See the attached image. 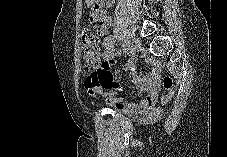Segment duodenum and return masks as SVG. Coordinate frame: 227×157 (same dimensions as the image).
<instances>
[{"mask_svg":"<svg viewBox=\"0 0 227 157\" xmlns=\"http://www.w3.org/2000/svg\"><path fill=\"white\" fill-rule=\"evenodd\" d=\"M96 9H105V4H96ZM93 25H104V20H93Z\"/></svg>","mask_w":227,"mask_h":157,"instance_id":"410a0bca","label":"duodenum"}]
</instances>
